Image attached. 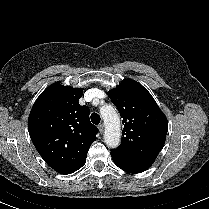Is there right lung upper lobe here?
Here are the masks:
<instances>
[{"mask_svg":"<svg viewBox=\"0 0 209 209\" xmlns=\"http://www.w3.org/2000/svg\"><path fill=\"white\" fill-rule=\"evenodd\" d=\"M82 89L50 85L35 101L29 118L31 140L44 161L60 174H70L86 162L98 129L90 110L79 105Z\"/></svg>","mask_w":209,"mask_h":209,"instance_id":"1","label":"right lung upper lobe"}]
</instances>
